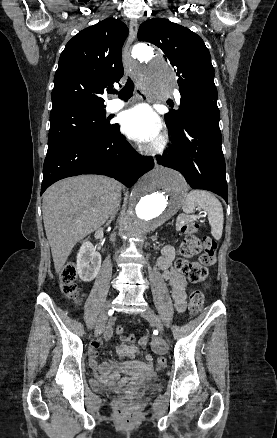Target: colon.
<instances>
[{
  "label": "colon",
  "instance_id": "obj_1",
  "mask_svg": "<svg viewBox=\"0 0 277 438\" xmlns=\"http://www.w3.org/2000/svg\"><path fill=\"white\" fill-rule=\"evenodd\" d=\"M199 231V224L196 221L183 219L181 221V232L184 238L181 244V251L186 257L199 256V263L180 258L176 261L177 270L185 275L191 282H203L208 277V269L215 264V254L217 249L216 239L212 235L195 236L194 233ZM76 277L74 266H66L61 274V291L69 299H76L79 296V290L73 278ZM205 303V296L199 291H194L189 296L188 309L190 313L197 314L200 312ZM118 335L123 334L122 328H116ZM127 341H133L131 336L125 338ZM166 360L163 357L157 358L159 368L165 366ZM128 409H135L137 406L135 393H128L126 396Z\"/></svg>",
  "mask_w": 277,
  "mask_h": 438
}]
</instances>
